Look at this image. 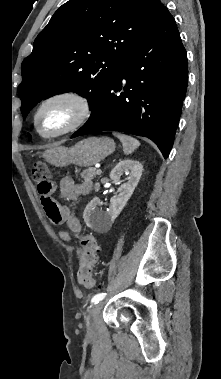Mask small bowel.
<instances>
[{"label": "small bowel", "instance_id": "1", "mask_svg": "<svg viewBox=\"0 0 221 379\" xmlns=\"http://www.w3.org/2000/svg\"><path fill=\"white\" fill-rule=\"evenodd\" d=\"M91 181L85 180L81 183H76L70 176L61 178L59 182V188L61 195L66 200H76L80 197L87 195L91 189ZM55 188L52 187L51 191L47 195H41V203L47 214L48 219L55 225L66 224L69 230L73 234H80L82 232V225L78 218L74 216L66 206L60 205L56 198H52L51 195ZM60 238L68 243L75 245L71 235L67 231L59 232ZM75 251L77 254L81 253V248L75 245Z\"/></svg>", "mask_w": 221, "mask_h": 379}]
</instances>
